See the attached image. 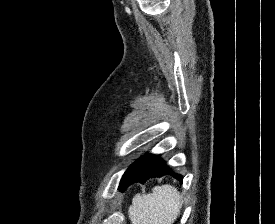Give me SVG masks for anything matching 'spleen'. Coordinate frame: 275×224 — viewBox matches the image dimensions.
Returning <instances> with one entry per match:
<instances>
[{
  "instance_id": "spleen-1",
  "label": "spleen",
  "mask_w": 275,
  "mask_h": 224,
  "mask_svg": "<svg viewBox=\"0 0 275 224\" xmlns=\"http://www.w3.org/2000/svg\"><path fill=\"white\" fill-rule=\"evenodd\" d=\"M181 208V196L172 185L155 186L152 193L136 194L128 209L132 224H172Z\"/></svg>"
}]
</instances>
